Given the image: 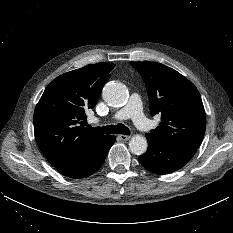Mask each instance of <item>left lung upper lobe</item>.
<instances>
[{"instance_id": "left-lung-upper-lobe-1", "label": "left lung upper lobe", "mask_w": 233, "mask_h": 233, "mask_svg": "<svg viewBox=\"0 0 233 233\" xmlns=\"http://www.w3.org/2000/svg\"><path fill=\"white\" fill-rule=\"evenodd\" d=\"M130 63L145 81L151 115H161L159 126L146 136L166 145L197 149L204 137L206 115L195 85L166 65Z\"/></svg>"}]
</instances>
